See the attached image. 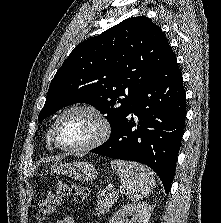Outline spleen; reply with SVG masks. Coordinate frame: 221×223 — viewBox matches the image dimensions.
Masks as SVG:
<instances>
[{
    "instance_id": "3e777b00",
    "label": "spleen",
    "mask_w": 221,
    "mask_h": 223,
    "mask_svg": "<svg viewBox=\"0 0 221 223\" xmlns=\"http://www.w3.org/2000/svg\"><path fill=\"white\" fill-rule=\"evenodd\" d=\"M110 165L120 178L125 195L131 201L144 198L153 189L155 178L149 168L122 160H112Z\"/></svg>"
}]
</instances>
